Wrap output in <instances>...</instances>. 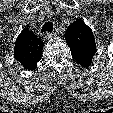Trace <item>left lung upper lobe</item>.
<instances>
[{"label": "left lung upper lobe", "instance_id": "obj_1", "mask_svg": "<svg viewBox=\"0 0 113 113\" xmlns=\"http://www.w3.org/2000/svg\"><path fill=\"white\" fill-rule=\"evenodd\" d=\"M65 40L73 58L83 67H89L96 53L95 38L92 30L83 20L77 19L66 30Z\"/></svg>", "mask_w": 113, "mask_h": 113}]
</instances>
